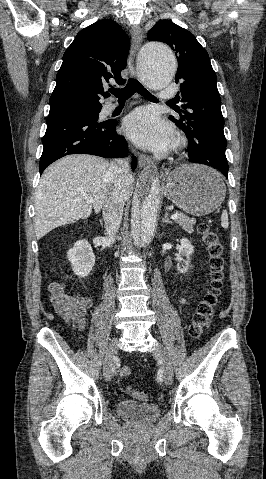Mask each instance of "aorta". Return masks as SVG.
<instances>
[{"mask_svg":"<svg viewBox=\"0 0 266 479\" xmlns=\"http://www.w3.org/2000/svg\"><path fill=\"white\" fill-rule=\"evenodd\" d=\"M142 76L152 89L167 86L176 71L175 57L171 49L160 42L145 44L139 52ZM160 205L158 178L142 179L135 198L131 232L135 244L148 242L154 234Z\"/></svg>","mask_w":266,"mask_h":479,"instance_id":"obj_1","label":"aorta"}]
</instances>
